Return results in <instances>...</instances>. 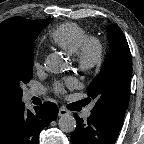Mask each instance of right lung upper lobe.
<instances>
[{"label": "right lung upper lobe", "instance_id": "1", "mask_svg": "<svg viewBox=\"0 0 144 144\" xmlns=\"http://www.w3.org/2000/svg\"><path fill=\"white\" fill-rule=\"evenodd\" d=\"M46 22L47 19L29 20L20 17L3 21L0 24V59L3 51L14 42L18 32L43 26ZM21 103V99L8 85L0 68V127L15 113Z\"/></svg>", "mask_w": 144, "mask_h": 144}]
</instances>
